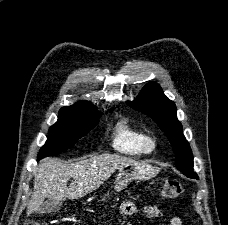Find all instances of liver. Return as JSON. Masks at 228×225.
<instances>
[{"label": "liver", "instance_id": "1", "mask_svg": "<svg viewBox=\"0 0 228 225\" xmlns=\"http://www.w3.org/2000/svg\"><path fill=\"white\" fill-rule=\"evenodd\" d=\"M137 161L120 155H97L78 163H62L59 159H43L34 177V193L27 207V217L38 211L44 199L66 201L81 199L96 191L117 169L135 165ZM74 179L67 187L69 179Z\"/></svg>", "mask_w": 228, "mask_h": 225}]
</instances>
